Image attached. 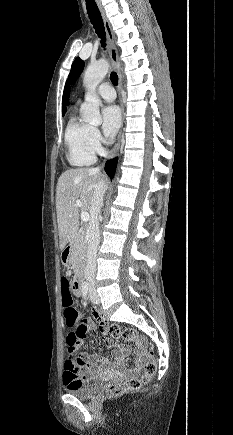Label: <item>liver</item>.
<instances>
[{"label": "liver", "mask_w": 233, "mask_h": 435, "mask_svg": "<svg viewBox=\"0 0 233 435\" xmlns=\"http://www.w3.org/2000/svg\"><path fill=\"white\" fill-rule=\"evenodd\" d=\"M99 183L105 184L104 177L91 168L69 169L61 174L56 187V212L61 251L77 236L79 207L76 201L82 202L83 212L89 211L94 189Z\"/></svg>", "instance_id": "liver-1"}]
</instances>
